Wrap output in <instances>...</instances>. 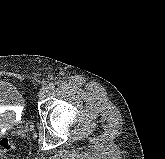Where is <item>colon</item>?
<instances>
[{"instance_id":"1","label":"colon","mask_w":165,"mask_h":159,"mask_svg":"<svg viewBox=\"0 0 165 159\" xmlns=\"http://www.w3.org/2000/svg\"><path fill=\"white\" fill-rule=\"evenodd\" d=\"M15 149V143L9 138L0 139V157H4Z\"/></svg>"}]
</instances>
